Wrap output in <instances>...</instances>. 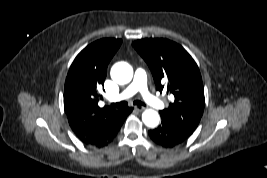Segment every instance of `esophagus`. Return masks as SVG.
<instances>
[{
	"mask_svg": "<svg viewBox=\"0 0 267 178\" xmlns=\"http://www.w3.org/2000/svg\"><path fill=\"white\" fill-rule=\"evenodd\" d=\"M135 110L141 112V111L145 110V107H143V106H135Z\"/></svg>",
	"mask_w": 267,
	"mask_h": 178,
	"instance_id": "esophagus-1",
	"label": "esophagus"
}]
</instances>
